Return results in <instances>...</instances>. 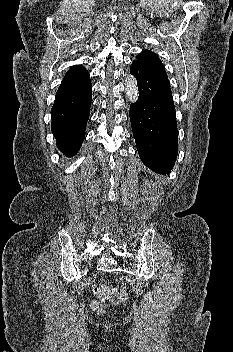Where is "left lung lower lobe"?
I'll return each instance as SVG.
<instances>
[{
  "label": "left lung lower lobe",
  "mask_w": 233,
  "mask_h": 352,
  "mask_svg": "<svg viewBox=\"0 0 233 352\" xmlns=\"http://www.w3.org/2000/svg\"><path fill=\"white\" fill-rule=\"evenodd\" d=\"M130 71L139 90L138 100L130 107L139 156L149 169L167 174L175 164L178 150L177 122L169 80L135 60Z\"/></svg>",
  "instance_id": "left-lung-lower-lobe-1"
}]
</instances>
